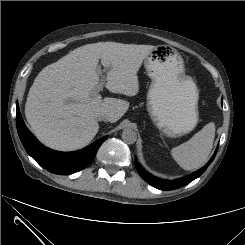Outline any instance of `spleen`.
Returning a JSON list of instances; mask_svg holds the SVG:
<instances>
[{"mask_svg": "<svg viewBox=\"0 0 245 245\" xmlns=\"http://www.w3.org/2000/svg\"><path fill=\"white\" fill-rule=\"evenodd\" d=\"M215 124L210 122L190 140L171 150V155L184 170L200 168L207 161L213 148Z\"/></svg>", "mask_w": 245, "mask_h": 245, "instance_id": "spleen-1", "label": "spleen"}]
</instances>
